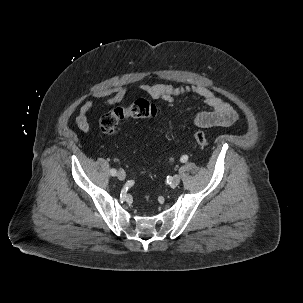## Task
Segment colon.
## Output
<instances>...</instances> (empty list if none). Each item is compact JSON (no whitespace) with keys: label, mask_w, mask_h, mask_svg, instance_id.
<instances>
[{"label":"colon","mask_w":303,"mask_h":303,"mask_svg":"<svg viewBox=\"0 0 303 303\" xmlns=\"http://www.w3.org/2000/svg\"><path fill=\"white\" fill-rule=\"evenodd\" d=\"M157 115L156 106L144 98L135 100L126 107H116L102 115L99 120V129L105 135L115 134L119 123L127 118H154ZM193 138L198 145H208L205 132L199 128L194 129Z\"/></svg>","instance_id":"obj_1"}]
</instances>
